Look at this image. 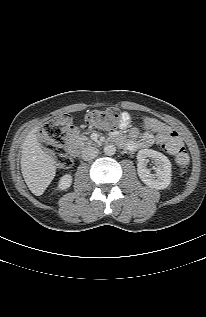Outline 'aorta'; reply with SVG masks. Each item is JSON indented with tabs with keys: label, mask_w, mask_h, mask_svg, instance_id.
<instances>
[{
	"label": "aorta",
	"mask_w": 206,
	"mask_h": 317,
	"mask_svg": "<svg viewBox=\"0 0 206 317\" xmlns=\"http://www.w3.org/2000/svg\"><path fill=\"white\" fill-rule=\"evenodd\" d=\"M103 150L107 156H112L116 152V147L113 144H109V145H106Z\"/></svg>",
	"instance_id": "762f6f07"
}]
</instances>
